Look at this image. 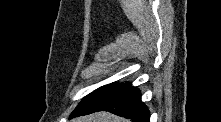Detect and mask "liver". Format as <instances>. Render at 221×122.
I'll use <instances>...</instances> for the list:
<instances>
[{"label":"liver","instance_id":"1","mask_svg":"<svg viewBox=\"0 0 221 122\" xmlns=\"http://www.w3.org/2000/svg\"><path fill=\"white\" fill-rule=\"evenodd\" d=\"M73 122H128L126 119L118 117L109 112H98L88 116L75 118Z\"/></svg>","mask_w":221,"mask_h":122}]
</instances>
